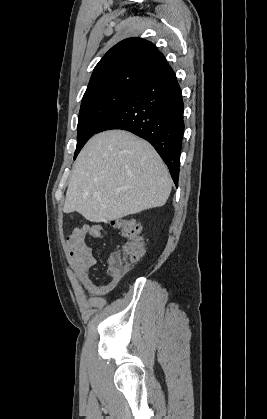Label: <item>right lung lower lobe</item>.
Listing matches in <instances>:
<instances>
[{
    "instance_id": "right-lung-lower-lobe-1",
    "label": "right lung lower lobe",
    "mask_w": 267,
    "mask_h": 419,
    "mask_svg": "<svg viewBox=\"0 0 267 419\" xmlns=\"http://www.w3.org/2000/svg\"><path fill=\"white\" fill-rule=\"evenodd\" d=\"M183 112L180 86L173 69L167 66L142 83L96 133L122 129L147 140L167 164L177 186Z\"/></svg>"
}]
</instances>
